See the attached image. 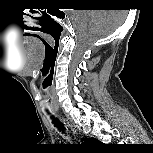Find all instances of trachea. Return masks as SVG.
I'll return each mask as SVG.
<instances>
[{
    "label": "trachea",
    "instance_id": "1",
    "mask_svg": "<svg viewBox=\"0 0 153 153\" xmlns=\"http://www.w3.org/2000/svg\"><path fill=\"white\" fill-rule=\"evenodd\" d=\"M54 123L56 126H58L59 128L62 127L61 123H59V121L57 119H54Z\"/></svg>",
    "mask_w": 153,
    "mask_h": 153
}]
</instances>
